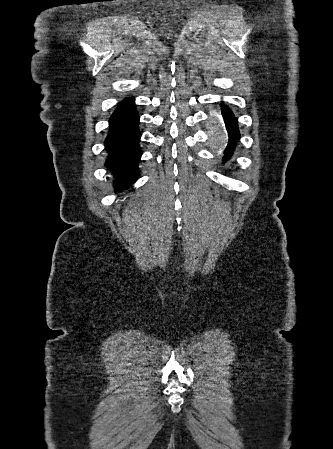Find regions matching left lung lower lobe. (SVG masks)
I'll return each mask as SVG.
<instances>
[{"instance_id":"obj_1","label":"left lung lower lobe","mask_w":333,"mask_h":449,"mask_svg":"<svg viewBox=\"0 0 333 449\" xmlns=\"http://www.w3.org/2000/svg\"><path fill=\"white\" fill-rule=\"evenodd\" d=\"M221 109L229 134V143L227 149L224 152L225 156L223 158L224 161H227L228 158H230V156H232L233 154L236 143L240 138V134L238 131L237 120L229 107L223 106Z\"/></svg>"}]
</instances>
